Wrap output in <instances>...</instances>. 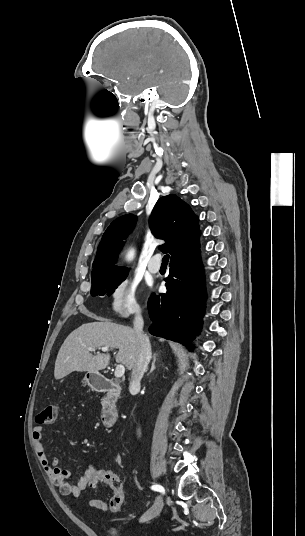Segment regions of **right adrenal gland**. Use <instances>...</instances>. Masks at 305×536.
Segmentation results:
<instances>
[{
    "label": "right adrenal gland",
    "instance_id": "1",
    "mask_svg": "<svg viewBox=\"0 0 305 536\" xmlns=\"http://www.w3.org/2000/svg\"><path fill=\"white\" fill-rule=\"evenodd\" d=\"M156 358H157V352H155V354H153V362H152V366H151V370H150L149 374H151V372H153V370H156V366H155Z\"/></svg>",
    "mask_w": 305,
    "mask_h": 536
}]
</instances>
